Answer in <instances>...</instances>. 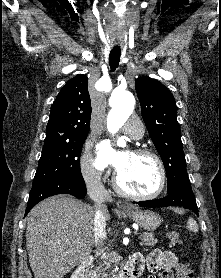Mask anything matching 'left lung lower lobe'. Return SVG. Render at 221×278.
<instances>
[{
  "mask_svg": "<svg viewBox=\"0 0 221 278\" xmlns=\"http://www.w3.org/2000/svg\"><path fill=\"white\" fill-rule=\"evenodd\" d=\"M134 203L142 207H168L178 205L192 210L198 215V207L189 179L183 180L174 186L170 191H168V195L164 198Z\"/></svg>",
  "mask_w": 221,
  "mask_h": 278,
  "instance_id": "0a47b994",
  "label": "left lung lower lobe"
}]
</instances>
